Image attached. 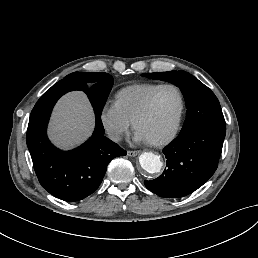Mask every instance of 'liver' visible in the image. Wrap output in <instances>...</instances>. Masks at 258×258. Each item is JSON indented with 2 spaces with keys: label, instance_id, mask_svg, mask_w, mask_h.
Segmentation results:
<instances>
[{
  "label": "liver",
  "instance_id": "6515ba94",
  "mask_svg": "<svg viewBox=\"0 0 258 258\" xmlns=\"http://www.w3.org/2000/svg\"><path fill=\"white\" fill-rule=\"evenodd\" d=\"M95 124V112L87 94L72 90L62 95L53 107L46 134L56 148L70 151L93 135Z\"/></svg>",
  "mask_w": 258,
  "mask_h": 258
}]
</instances>
